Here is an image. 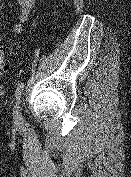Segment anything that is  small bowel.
<instances>
[{
  "label": "small bowel",
  "instance_id": "c3829d8e",
  "mask_svg": "<svg viewBox=\"0 0 131 177\" xmlns=\"http://www.w3.org/2000/svg\"><path fill=\"white\" fill-rule=\"evenodd\" d=\"M17 2L20 7V13L17 22L13 26L12 32L14 35H21L25 31L30 12L35 5V0H17Z\"/></svg>",
  "mask_w": 131,
  "mask_h": 177
}]
</instances>
